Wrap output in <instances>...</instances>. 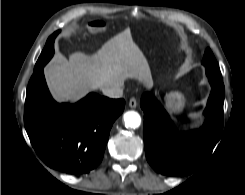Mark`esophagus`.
<instances>
[{
	"mask_svg": "<svg viewBox=\"0 0 245 195\" xmlns=\"http://www.w3.org/2000/svg\"><path fill=\"white\" fill-rule=\"evenodd\" d=\"M129 106H130L131 108H136V106H137V100H136V98L132 97V98L129 100Z\"/></svg>",
	"mask_w": 245,
	"mask_h": 195,
	"instance_id": "34e87169",
	"label": "esophagus"
}]
</instances>
